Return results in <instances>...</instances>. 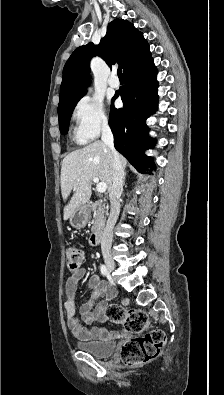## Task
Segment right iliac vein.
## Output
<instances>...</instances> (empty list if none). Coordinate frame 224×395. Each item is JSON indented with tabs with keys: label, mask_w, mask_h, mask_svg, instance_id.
I'll return each instance as SVG.
<instances>
[{
	"label": "right iliac vein",
	"mask_w": 224,
	"mask_h": 395,
	"mask_svg": "<svg viewBox=\"0 0 224 395\" xmlns=\"http://www.w3.org/2000/svg\"><path fill=\"white\" fill-rule=\"evenodd\" d=\"M104 261L107 266V269L110 273H112L115 269V263L114 260L110 255H104Z\"/></svg>",
	"instance_id": "obj_1"
}]
</instances>
